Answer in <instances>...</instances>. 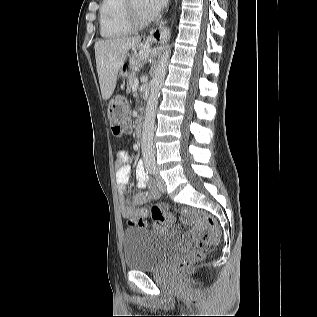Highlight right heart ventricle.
Listing matches in <instances>:
<instances>
[{"label": "right heart ventricle", "mask_w": 317, "mask_h": 317, "mask_svg": "<svg viewBox=\"0 0 317 317\" xmlns=\"http://www.w3.org/2000/svg\"><path fill=\"white\" fill-rule=\"evenodd\" d=\"M124 0H102L100 6V34L105 39H117L133 32L128 24Z\"/></svg>", "instance_id": "1"}]
</instances>
